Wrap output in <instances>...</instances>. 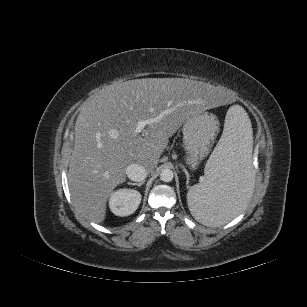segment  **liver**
I'll use <instances>...</instances> for the list:
<instances>
[{"mask_svg": "<svg viewBox=\"0 0 307 307\" xmlns=\"http://www.w3.org/2000/svg\"><path fill=\"white\" fill-rule=\"evenodd\" d=\"M227 90L180 78H143L114 83L90 96L81 107L74 131L68 184L77 210L102 223L113 190L138 163L157 167L169 138L192 114L224 107ZM154 120L135 133L140 120Z\"/></svg>", "mask_w": 307, "mask_h": 307, "instance_id": "1", "label": "liver"}]
</instances>
